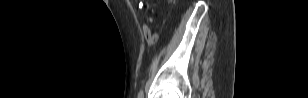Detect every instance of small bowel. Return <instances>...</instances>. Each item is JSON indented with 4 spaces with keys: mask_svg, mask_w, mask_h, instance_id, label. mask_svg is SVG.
Returning <instances> with one entry per match:
<instances>
[{
    "mask_svg": "<svg viewBox=\"0 0 308 98\" xmlns=\"http://www.w3.org/2000/svg\"><path fill=\"white\" fill-rule=\"evenodd\" d=\"M142 30H143V33H144L145 36L152 33L149 26L146 23L143 24Z\"/></svg>",
    "mask_w": 308,
    "mask_h": 98,
    "instance_id": "obj_1",
    "label": "small bowel"
}]
</instances>
